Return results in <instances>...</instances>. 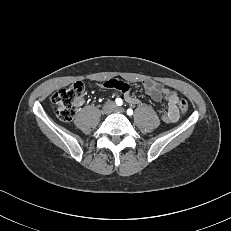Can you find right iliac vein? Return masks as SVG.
I'll list each match as a JSON object with an SVG mask.
<instances>
[{"label": "right iliac vein", "mask_w": 231, "mask_h": 231, "mask_svg": "<svg viewBox=\"0 0 231 231\" xmlns=\"http://www.w3.org/2000/svg\"><path fill=\"white\" fill-rule=\"evenodd\" d=\"M114 110V103L111 101H108L104 104L102 108V113L107 115L110 114Z\"/></svg>", "instance_id": "right-iliac-vein-1"}]
</instances>
